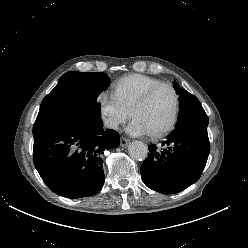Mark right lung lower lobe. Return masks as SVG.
Returning a JSON list of instances; mask_svg holds the SVG:
<instances>
[{"mask_svg":"<svg viewBox=\"0 0 248 248\" xmlns=\"http://www.w3.org/2000/svg\"><path fill=\"white\" fill-rule=\"evenodd\" d=\"M35 167L46 185L67 198L97 194L104 184L101 156L117 148L119 135L102 123H35Z\"/></svg>","mask_w":248,"mask_h":248,"instance_id":"98d812e1","label":"right lung lower lobe"}]
</instances>
